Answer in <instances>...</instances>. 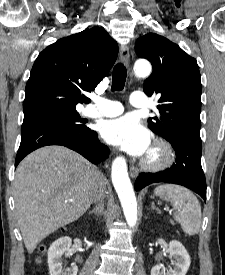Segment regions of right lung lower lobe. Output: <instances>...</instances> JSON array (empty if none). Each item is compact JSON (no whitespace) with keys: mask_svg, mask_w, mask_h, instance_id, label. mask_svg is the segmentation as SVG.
I'll return each mask as SVG.
<instances>
[{"mask_svg":"<svg viewBox=\"0 0 225 275\" xmlns=\"http://www.w3.org/2000/svg\"><path fill=\"white\" fill-rule=\"evenodd\" d=\"M47 145L68 147L94 164L107 158L109 149L100 143L97 133L91 129L79 132L49 121H30L22 124L21 143L15 167L30 152Z\"/></svg>","mask_w":225,"mask_h":275,"instance_id":"right-lung-lower-lobe-1","label":"right lung lower lobe"}]
</instances>
